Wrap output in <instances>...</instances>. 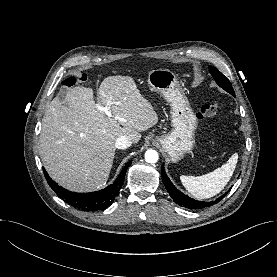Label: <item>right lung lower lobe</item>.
<instances>
[{
    "label": "right lung lower lobe",
    "instance_id": "98d812e1",
    "mask_svg": "<svg viewBox=\"0 0 277 277\" xmlns=\"http://www.w3.org/2000/svg\"><path fill=\"white\" fill-rule=\"evenodd\" d=\"M131 162L127 163L120 173L116 181L97 192L91 193H74L70 192L53 181L47 174L44 169V175L49 186L56 192V194L62 198L66 203L71 206L78 208L83 211H96L103 210L111 205L114 198L119 193V190L124 182V177L127 171V168L130 166Z\"/></svg>",
    "mask_w": 277,
    "mask_h": 277
}]
</instances>
